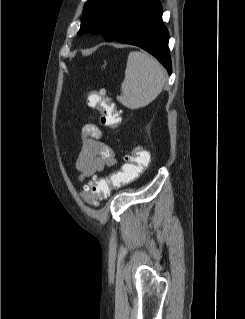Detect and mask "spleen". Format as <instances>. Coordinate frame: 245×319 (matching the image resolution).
<instances>
[{
	"label": "spleen",
	"mask_w": 245,
	"mask_h": 319,
	"mask_svg": "<svg viewBox=\"0 0 245 319\" xmlns=\"http://www.w3.org/2000/svg\"><path fill=\"white\" fill-rule=\"evenodd\" d=\"M164 85L165 70L161 64L148 53L132 51L121 85L122 95L117 100L129 109L142 108L161 93Z\"/></svg>",
	"instance_id": "obj_1"
}]
</instances>
